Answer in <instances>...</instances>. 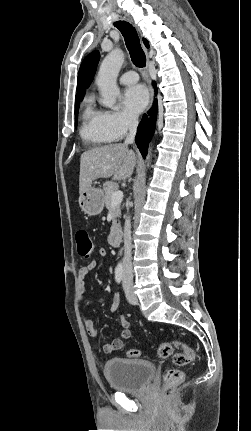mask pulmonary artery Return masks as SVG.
<instances>
[{
    "instance_id": "1",
    "label": "pulmonary artery",
    "mask_w": 251,
    "mask_h": 431,
    "mask_svg": "<svg viewBox=\"0 0 251 431\" xmlns=\"http://www.w3.org/2000/svg\"><path fill=\"white\" fill-rule=\"evenodd\" d=\"M119 81L122 84H133L138 81V74L135 71H127L121 74Z\"/></svg>"
}]
</instances>
